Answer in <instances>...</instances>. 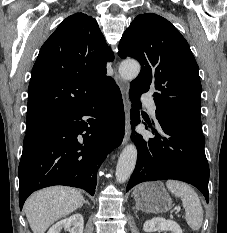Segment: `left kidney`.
Segmentation results:
<instances>
[{
  "mask_svg": "<svg viewBox=\"0 0 227 233\" xmlns=\"http://www.w3.org/2000/svg\"><path fill=\"white\" fill-rule=\"evenodd\" d=\"M143 230L146 233L155 231H170L171 233H182V229L179 224L172 220H166L164 218H153L148 220L143 225ZM166 233V232H165Z\"/></svg>",
  "mask_w": 227,
  "mask_h": 233,
  "instance_id": "1",
  "label": "left kidney"
}]
</instances>
